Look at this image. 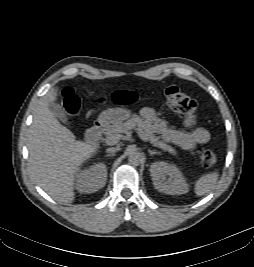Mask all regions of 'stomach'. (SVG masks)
Listing matches in <instances>:
<instances>
[{
	"instance_id": "0dacf381",
	"label": "stomach",
	"mask_w": 254,
	"mask_h": 267,
	"mask_svg": "<svg viewBox=\"0 0 254 267\" xmlns=\"http://www.w3.org/2000/svg\"><path fill=\"white\" fill-rule=\"evenodd\" d=\"M131 113L124 108H109L100 113L98 122L100 125L108 127L113 124H120L129 119Z\"/></svg>"
}]
</instances>
